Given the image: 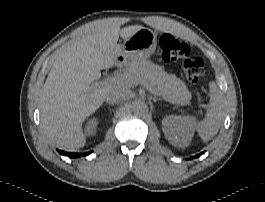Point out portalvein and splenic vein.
Masks as SVG:
<instances>
[{"instance_id": "obj_1", "label": "portal vein and splenic vein", "mask_w": 265, "mask_h": 202, "mask_svg": "<svg viewBox=\"0 0 265 202\" xmlns=\"http://www.w3.org/2000/svg\"><path fill=\"white\" fill-rule=\"evenodd\" d=\"M113 83H120V84H125V85H131L130 83V79L127 75L125 74H121V75H117L114 77H108L106 79H104L102 82H100V85H105V84H113ZM142 84L144 85V87H146L150 92H152L153 94H157L158 92H156L155 90H153L152 88L149 87V85L145 82H142ZM98 85V84H96ZM167 102L171 103V104H175V102L171 101L170 99H168L165 96H162Z\"/></svg>"}]
</instances>
